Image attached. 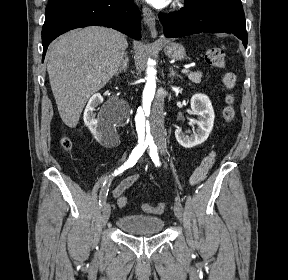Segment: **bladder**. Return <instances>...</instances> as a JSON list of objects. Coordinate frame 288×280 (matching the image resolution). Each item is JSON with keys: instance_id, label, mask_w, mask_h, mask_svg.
I'll return each instance as SVG.
<instances>
[{"instance_id": "bladder-1", "label": "bladder", "mask_w": 288, "mask_h": 280, "mask_svg": "<svg viewBox=\"0 0 288 280\" xmlns=\"http://www.w3.org/2000/svg\"><path fill=\"white\" fill-rule=\"evenodd\" d=\"M117 227L128 234H156L165 225L163 218L150 215H124L117 219Z\"/></svg>"}]
</instances>
